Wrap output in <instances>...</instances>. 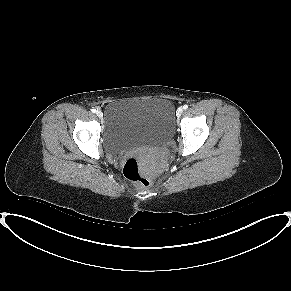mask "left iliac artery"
Masks as SVG:
<instances>
[{"mask_svg": "<svg viewBox=\"0 0 291 291\" xmlns=\"http://www.w3.org/2000/svg\"><path fill=\"white\" fill-rule=\"evenodd\" d=\"M187 108H188V105L185 104V105L183 106V109L186 110Z\"/></svg>", "mask_w": 291, "mask_h": 291, "instance_id": "obj_1", "label": "left iliac artery"}]
</instances>
